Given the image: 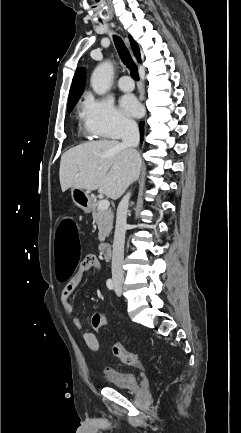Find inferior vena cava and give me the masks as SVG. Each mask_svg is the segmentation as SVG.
<instances>
[{
	"instance_id": "obj_1",
	"label": "inferior vena cava",
	"mask_w": 241,
	"mask_h": 433,
	"mask_svg": "<svg viewBox=\"0 0 241 433\" xmlns=\"http://www.w3.org/2000/svg\"><path fill=\"white\" fill-rule=\"evenodd\" d=\"M139 141L140 135L137 123L135 121H126L122 133V146L135 148L139 145ZM130 195V192H128L122 198L117 208L112 254V279L114 281L124 280L122 265L124 259L126 220Z\"/></svg>"
}]
</instances>
